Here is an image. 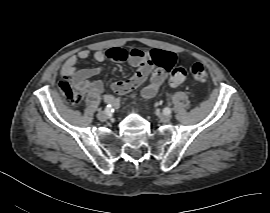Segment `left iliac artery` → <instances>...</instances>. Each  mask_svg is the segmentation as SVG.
<instances>
[{
    "label": "left iliac artery",
    "instance_id": "obj_1",
    "mask_svg": "<svg viewBox=\"0 0 270 213\" xmlns=\"http://www.w3.org/2000/svg\"><path fill=\"white\" fill-rule=\"evenodd\" d=\"M164 114L170 115L171 114V109L170 108H165L163 110Z\"/></svg>",
    "mask_w": 270,
    "mask_h": 213
}]
</instances>
